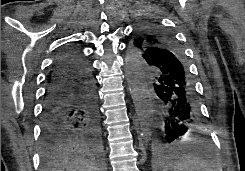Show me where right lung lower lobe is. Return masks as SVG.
Here are the masks:
<instances>
[{
  "mask_svg": "<svg viewBox=\"0 0 245 171\" xmlns=\"http://www.w3.org/2000/svg\"><path fill=\"white\" fill-rule=\"evenodd\" d=\"M41 127L43 143L49 149L99 144L95 81L89 61L76 49L66 50L53 64Z\"/></svg>",
  "mask_w": 245,
  "mask_h": 171,
  "instance_id": "obj_1",
  "label": "right lung lower lobe"
}]
</instances>
